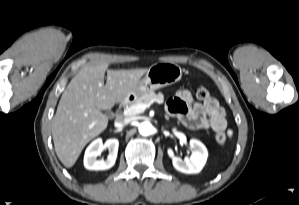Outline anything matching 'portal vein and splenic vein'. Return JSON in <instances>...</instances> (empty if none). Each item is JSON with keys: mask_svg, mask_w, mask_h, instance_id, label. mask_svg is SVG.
<instances>
[{"mask_svg": "<svg viewBox=\"0 0 299 205\" xmlns=\"http://www.w3.org/2000/svg\"><path fill=\"white\" fill-rule=\"evenodd\" d=\"M149 106H150V104H138V105H134V106H132L130 108L125 109L124 112H123V115L124 116H132V115H136V114L142 113Z\"/></svg>", "mask_w": 299, "mask_h": 205, "instance_id": "18ae733b", "label": "portal vein and splenic vein"}]
</instances>
